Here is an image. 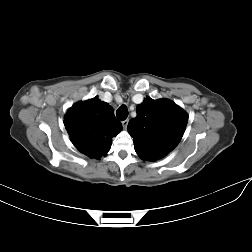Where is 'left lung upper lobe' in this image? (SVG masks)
<instances>
[{
  "label": "left lung upper lobe",
  "instance_id": "left-lung-upper-lobe-1",
  "mask_svg": "<svg viewBox=\"0 0 252 252\" xmlns=\"http://www.w3.org/2000/svg\"><path fill=\"white\" fill-rule=\"evenodd\" d=\"M136 112L127 130L142 160L161 159L179 144L188 122V115L181 107L168 99L147 97Z\"/></svg>",
  "mask_w": 252,
  "mask_h": 252
}]
</instances>
